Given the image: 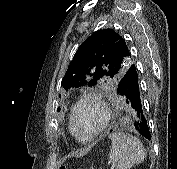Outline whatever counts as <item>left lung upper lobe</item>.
Listing matches in <instances>:
<instances>
[{
  "instance_id": "1",
  "label": "left lung upper lobe",
  "mask_w": 177,
  "mask_h": 169,
  "mask_svg": "<svg viewBox=\"0 0 177 169\" xmlns=\"http://www.w3.org/2000/svg\"><path fill=\"white\" fill-rule=\"evenodd\" d=\"M131 64L125 40L113 29L98 30L79 46L61 85L65 90L104 83L116 88Z\"/></svg>"
}]
</instances>
